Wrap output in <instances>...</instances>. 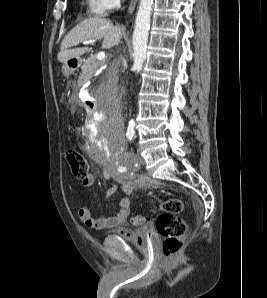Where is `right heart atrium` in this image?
I'll return each mask as SVG.
<instances>
[{
    "label": "right heart atrium",
    "instance_id": "obj_1",
    "mask_svg": "<svg viewBox=\"0 0 267 298\" xmlns=\"http://www.w3.org/2000/svg\"><path fill=\"white\" fill-rule=\"evenodd\" d=\"M121 0H98L99 10L101 13H107L117 8Z\"/></svg>",
    "mask_w": 267,
    "mask_h": 298
}]
</instances>
